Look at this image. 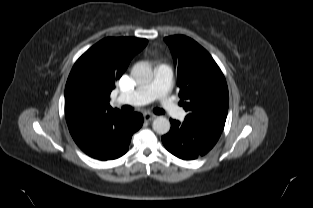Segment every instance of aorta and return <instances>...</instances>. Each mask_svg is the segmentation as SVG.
Instances as JSON below:
<instances>
[{"instance_id": "1", "label": "aorta", "mask_w": 313, "mask_h": 208, "mask_svg": "<svg viewBox=\"0 0 313 208\" xmlns=\"http://www.w3.org/2000/svg\"><path fill=\"white\" fill-rule=\"evenodd\" d=\"M131 74L140 85L149 84L153 79L152 68L145 62L136 63L132 67ZM152 127L157 134L164 135L169 132L171 124L166 117L159 116L154 119Z\"/></svg>"}]
</instances>
